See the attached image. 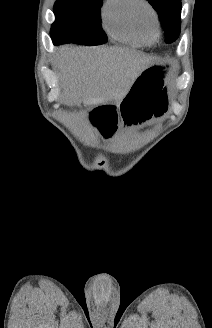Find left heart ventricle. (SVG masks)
Segmentation results:
<instances>
[{
    "instance_id": "b2bd125f",
    "label": "left heart ventricle",
    "mask_w": 212,
    "mask_h": 328,
    "mask_svg": "<svg viewBox=\"0 0 212 328\" xmlns=\"http://www.w3.org/2000/svg\"><path fill=\"white\" fill-rule=\"evenodd\" d=\"M142 16H143L144 20H145L148 24L151 23V15L149 14L148 11L143 10V12H142ZM151 31H153V30H151Z\"/></svg>"
}]
</instances>
